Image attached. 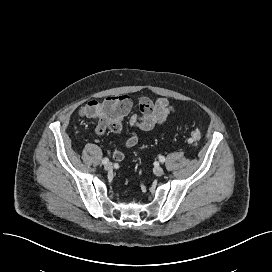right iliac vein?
Wrapping results in <instances>:
<instances>
[{
    "mask_svg": "<svg viewBox=\"0 0 272 272\" xmlns=\"http://www.w3.org/2000/svg\"><path fill=\"white\" fill-rule=\"evenodd\" d=\"M112 168H113V165H112V163H110V162H107V163L105 164V166H104V169H105L106 171H110Z\"/></svg>",
    "mask_w": 272,
    "mask_h": 272,
    "instance_id": "obj_1",
    "label": "right iliac vein"
}]
</instances>
